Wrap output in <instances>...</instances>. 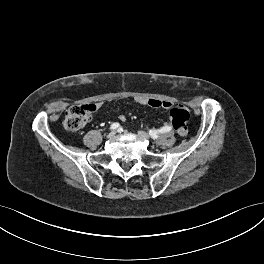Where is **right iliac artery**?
Segmentation results:
<instances>
[{
	"label": "right iliac artery",
	"instance_id": "82829eb1",
	"mask_svg": "<svg viewBox=\"0 0 264 264\" xmlns=\"http://www.w3.org/2000/svg\"><path fill=\"white\" fill-rule=\"evenodd\" d=\"M119 127H120V124L117 123V122H115V123H113V124L110 126V129H111V130H115V129L119 128Z\"/></svg>",
	"mask_w": 264,
	"mask_h": 264
}]
</instances>
